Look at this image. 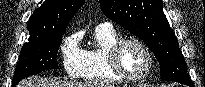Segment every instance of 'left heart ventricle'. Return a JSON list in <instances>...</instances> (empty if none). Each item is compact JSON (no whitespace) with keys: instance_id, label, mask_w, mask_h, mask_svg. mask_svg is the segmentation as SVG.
I'll return each instance as SVG.
<instances>
[{"instance_id":"left-heart-ventricle-1","label":"left heart ventricle","mask_w":205,"mask_h":87,"mask_svg":"<svg viewBox=\"0 0 205 87\" xmlns=\"http://www.w3.org/2000/svg\"><path fill=\"white\" fill-rule=\"evenodd\" d=\"M120 64L128 75L137 76L147 68L148 58L141 47L136 44H128L121 51Z\"/></svg>"}]
</instances>
